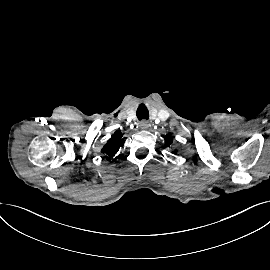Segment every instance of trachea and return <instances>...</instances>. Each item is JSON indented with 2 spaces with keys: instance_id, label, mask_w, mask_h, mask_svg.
<instances>
[{
  "instance_id": "3493384b",
  "label": "trachea",
  "mask_w": 270,
  "mask_h": 270,
  "mask_svg": "<svg viewBox=\"0 0 270 270\" xmlns=\"http://www.w3.org/2000/svg\"><path fill=\"white\" fill-rule=\"evenodd\" d=\"M137 118L139 120H142V119H146L148 120L149 118V112H148V109L146 108V106L144 104H141L138 109H137Z\"/></svg>"
}]
</instances>
